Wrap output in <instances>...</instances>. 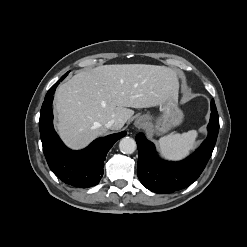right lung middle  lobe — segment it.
<instances>
[{"instance_id":"dd1d6c3e","label":"right lung middle lobe","mask_w":247,"mask_h":247,"mask_svg":"<svg viewBox=\"0 0 247 247\" xmlns=\"http://www.w3.org/2000/svg\"><path fill=\"white\" fill-rule=\"evenodd\" d=\"M68 73H66L64 76H62V78L60 79V81H62L66 76H67Z\"/></svg>"}]
</instances>
